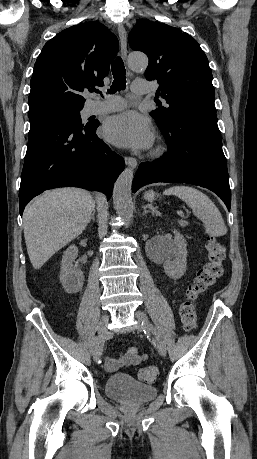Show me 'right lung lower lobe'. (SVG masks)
I'll list each match as a JSON object with an SVG mask.
<instances>
[{"instance_id":"98d812e1","label":"right lung lower lobe","mask_w":257,"mask_h":459,"mask_svg":"<svg viewBox=\"0 0 257 459\" xmlns=\"http://www.w3.org/2000/svg\"><path fill=\"white\" fill-rule=\"evenodd\" d=\"M98 126V121L77 125L51 118L30 119L19 190L21 215L32 198L56 187H80L111 197L125 163L97 137Z\"/></svg>"}]
</instances>
